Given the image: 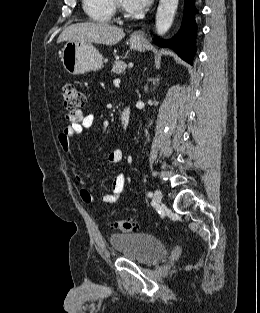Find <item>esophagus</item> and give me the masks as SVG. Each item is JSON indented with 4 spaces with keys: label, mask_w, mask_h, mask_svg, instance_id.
Instances as JSON below:
<instances>
[{
    "label": "esophagus",
    "mask_w": 260,
    "mask_h": 313,
    "mask_svg": "<svg viewBox=\"0 0 260 313\" xmlns=\"http://www.w3.org/2000/svg\"><path fill=\"white\" fill-rule=\"evenodd\" d=\"M133 38L134 39H137V40H144L145 39V36H146V33L144 30H137L133 33Z\"/></svg>",
    "instance_id": "obj_1"
}]
</instances>
